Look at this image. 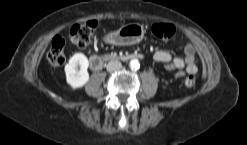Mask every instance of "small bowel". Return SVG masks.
Listing matches in <instances>:
<instances>
[{
  "mask_svg": "<svg viewBox=\"0 0 247 145\" xmlns=\"http://www.w3.org/2000/svg\"><path fill=\"white\" fill-rule=\"evenodd\" d=\"M153 59L156 62L164 63L168 70L185 68L188 74H196L198 71L196 50L192 44H187L184 47L183 57L173 56L167 51L158 50L154 52Z\"/></svg>",
  "mask_w": 247,
  "mask_h": 145,
  "instance_id": "1",
  "label": "small bowel"
}]
</instances>
